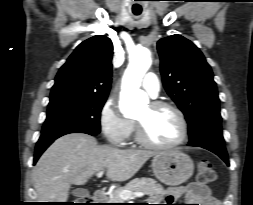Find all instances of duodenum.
<instances>
[{
  "mask_svg": "<svg viewBox=\"0 0 253 205\" xmlns=\"http://www.w3.org/2000/svg\"><path fill=\"white\" fill-rule=\"evenodd\" d=\"M93 199L97 203H102L106 200V193L102 189H98L93 194Z\"/></svg>",
  "mask_w": 253,
  "mask_h": 205,
  "instance_id": "obj_1",
  "label": "duodenum"
}]
</instances>
